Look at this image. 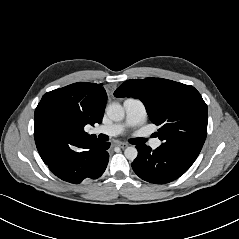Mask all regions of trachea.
Wrapping results in <instances>:
<instances>
[{"label":"trachea","instance_id":"trachea-1","mask_svg":"<svg viewBox=\"0 0 239 239\" xmlns=\"http://www.w3.org/2000/svg\"><path fill=\"white\" fill-rule=\"evenodd\" d=\"M145 142H146L145 138H136V139H134V143L135 144H143Z\"/></svg>","mask_w":239,"mask_h":239}]
</instances>
